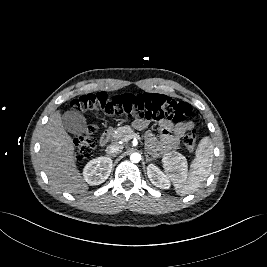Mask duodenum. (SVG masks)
Instances as JSON below:
<instances>
[{
    "label": "duodenum",
    "instance_id": "1",
    "mask_svg": "<svg viewBox=\"0 0 267 267\" xmlns=\"http://www.w3.org/2000/svg\"><path fill=\"white\" fill-rule=\"evenodd\" d=\"M110 137H111V132L109 130L104 131L100 136L99 145L105 146L109 142Z\"/></svg>",
    "mask_w": 267,
    "mask_h": 267
}]
</instances>
